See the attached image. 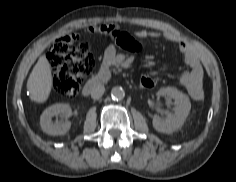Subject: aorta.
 I'll list each match as a JSON object with an SVG mask.
<instances>
[{
    "instance_id": "obj_1",
    "label": "aorta",
    "mask_w": 236,
    "mask_h": 182,
    "mask_svg": "<svg viewBox=\"0 0 236 182\" xmlns=\"http://www.w3.org/2000/svg\"><path fill=\"white\" fill-rule=\"evenodd\" d=\"M111 96L114 100H122L125 97V91L122 87H113Z\"/></svg>"
}]
</instances>
